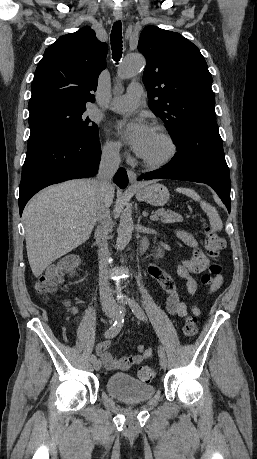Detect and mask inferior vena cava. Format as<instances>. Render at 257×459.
<instances>
[{
    "label": "inferior vena cava",
    "instance_id": "1",
    "mask_svg": "<svg viewBox=\"0 0 257 459\" xmlns=\"http://www.w3.org/2000/svg\"><path fill=\"white\" fill-rule=\"evenodd\" d=\"M120 161L118 148H105L102 151L98 174L94 179L97 185L96 219L100 222L96 234L99 247V288L103 307L114 305V299L107 276V267L110 261L107 239L112 229V219L109 211L111 204L110 194L113 191L111 181L119 167Z\"/></svg>",
    "mask_w": 257,
    "mask_h": 459
}]
</instances>
